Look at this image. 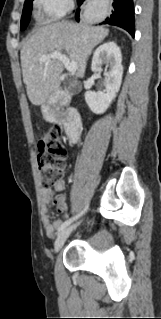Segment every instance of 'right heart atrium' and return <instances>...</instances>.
<instances>
[{
  "label": "right heart atrium",
  "mask_w": 161,
  "mask_h": 319,
  "mask_svg": "<svg viewBox=\"0 0 161 319\" xmlns=\"http://www.w3.org/2000/svg\"><path fill=\"white\" fill-rule=\"evenodd\" d=\"M35 3L49 22L59 20L73 6V0H36Z\"/></svg>",
  "instance_id": "1"
}]
</instances>
